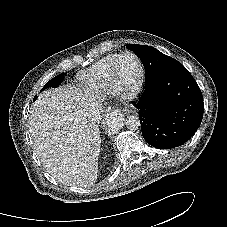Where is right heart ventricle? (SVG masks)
Listing matches in <instances>:
<instances>
[{"label": "right heart ventricle", "mask_w": 227, "mask_h": 227, "mask_svg": "<svg viewBox=\"0 0 227 227\" xmlns=\"http://www.w3.org/2000/svg\"><path fill=\"white\" fill-rule=\"evenodd\" d=\"M119 54H111L92 65L83 75L82 83L86 89L108 91L112 90L109 71Z\"/></svg>", "instance_id": "e07e8e85"}]
</instances>
